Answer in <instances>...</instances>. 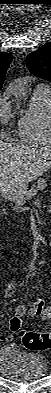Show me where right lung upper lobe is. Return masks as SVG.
<instances>
[{
  "label": "right lung upper lobe",
  "mask_w": 51,
  "mask_h": 393,
  "mask_svg": "<svg viewBox=\"0 0 51 393\" xmlns=\"http://www.w3.org/2000/svg\"><path fill=\"white\" fill-rule=\"evenodd\" d=\"M11 61L12 55H10L9 53L0 52V89L4 82V76Z\"/></svg>",
  "instance_id": "right-lung-upper-lobe-1"
}]
</instances>
